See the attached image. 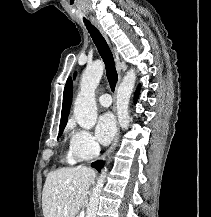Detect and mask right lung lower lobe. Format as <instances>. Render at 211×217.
Listing matches in <instances>:
<instances>
[{
    "mask_svg": "<svg viewBox=\"0 0 211 217\" xmlns=\"http://www.w3.org/2000/svg\"><path fill=\"white\" fill-rule=\"evenodd\" d=\"M91 166L95 169H97V171H100L101 168L104 166V162L103 161H96V162H93L91 164Z\"/></svg>",
    "mask_w": 211,
    "mask_h": 217,
    "instance_id": "right-lung-lower-lobe-1",
    "label": "right lung lower lobe"
}]
</instances>
